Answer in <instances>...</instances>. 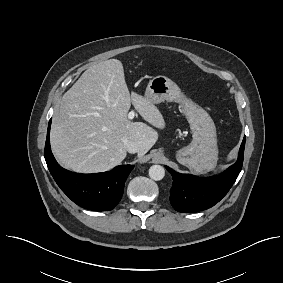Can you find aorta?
<instances>
[{
	"instance_id": "obj_1",
	"label": "aorta",
	"mask_w": 283,
	"mask_h": 283,
	"mask_svg": "<svg viewBox=\"0 0 283 283\" xmlns=\"http://www.w3.org/2000/svg\"><path fill=\"white\" fill-rule=\"evenodd\" d=\"M149 176L155 181H160L165 176V169L160 165H153L149 168Z\"/></svg>"
}]
</instances>
